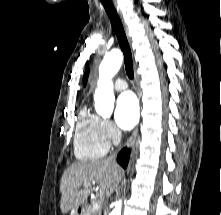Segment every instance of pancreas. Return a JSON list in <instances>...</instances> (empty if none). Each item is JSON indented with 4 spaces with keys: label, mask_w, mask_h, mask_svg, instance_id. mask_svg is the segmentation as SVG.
<instances>
[{
    "label": "pancreas",
    "mask_w": 221,
    "mask_h": 215,
    "mask_svg": "<svg viewBox=\"0 0 221 215\" xmlns=\"http://www.w3.org/2000/svg\"><path fill=\"white\" fill-rule=\"evenodd\" d=\"M100 213V208H95L93 205L87 206L83 211V215H100Z\"/></svg>",
    "instance_id": "obj_1"
}]
</instances>
